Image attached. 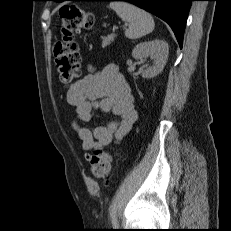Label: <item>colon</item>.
I'll return each mask as SVG.
<instances>
[{"label":"colon","instance_id":"1","mask_svg":"<svg viewBox=\"0 0 231 231\" xmlns=\"http://www.w3.org/2000/svg\"><path fill=\"white\" fill-rule=\"evenodd\" d=\"M61 38L54 45V59L60 81L70 85L80 75L81 56L73 40L76 31L90 29L94 25L93 15L75 4L64 5L59 10ZM111 155L102 149L90 156V169L97 179H105L111 169Z\"/></svg>","mask_w":231,"mask_h":231}]
</instances>
